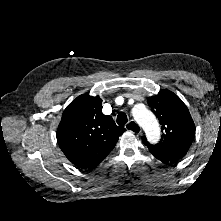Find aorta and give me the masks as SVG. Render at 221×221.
Segmentation results:
<instances>
[{
    "mask_svg": "<svg viewBox=\"0 0 221 221\" xmlns=\"http://www.w3.org/2000/svg\"><path fill=\"white\" fill-rule=\"evenodd\" d=\"M133 117L144 129L147 139L156 143L160 139V127L155 115L146 107L137 105L132 110Z\"/></svg>",
    "mask_w": 221,
    "mask_h": 221,
    "instance_id": "762f6f07",
    "label": "aorta"
}]
</instances>
